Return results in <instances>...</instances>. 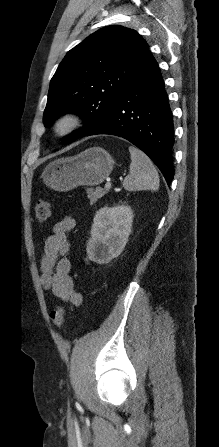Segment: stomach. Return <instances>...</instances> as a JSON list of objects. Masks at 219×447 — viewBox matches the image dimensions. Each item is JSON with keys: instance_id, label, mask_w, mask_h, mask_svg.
Returning a JSON list of instances; mask_svg holds the SVG:
<instances>
[{"instance_id": "1", "label": "stomach", "mask_w": 219, "mask_h": 447, "mask_svg": "<svg viewBox=\"0 0 219 447\" xmlns=\"http://www.w3.org/2000/svg\"><path fill=\"white\" fill-rule=\"evenodd\" d=\"M114 159L101 147H91L78 155L49 163L43 173L44 183L55 191L102 183L113 170Z\"/></svg>"}]
</instances>
